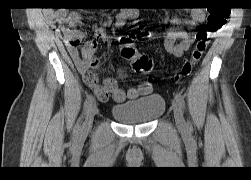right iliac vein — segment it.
<instances>
[{"label":"right iliac vein","mask_w":251,"mask_h":180,"mask_svg":"<svg viewBox=\"0 0 251 180\" xmlns=\"http://www.w3.org/2000/svg\"><path fill=\"white\" fill-rule=\"evenodd\" d=\"M96 112H97V106L95 104H92L91 107L87 111L85 121H84L83 126H82V130L84 132H87V131H89L91 129L93 119H94V116H95Z\"/></svg>","instance_id":"obj_1"}]
</instances>
